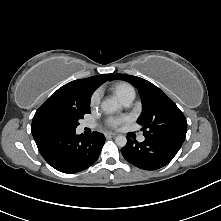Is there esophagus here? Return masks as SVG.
I'll return each mask as SVG.
<instances>
[{
    "instance_id": "esophagus-1",
    "label": "esophagus",
    "mask_w": 221,
    "mask_h": 221,
    "mask_svg": "<svg viewBox=\"0 0 221 221\" xmlns=\"http://www.w3.org/2000/svg\"><path fill=\"white\" fill-rule=\"evenodd\" d=\"M117 133H114V132H106L105 133V136H116Z\"/></svg>"
}]
</instances>
